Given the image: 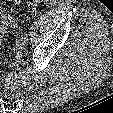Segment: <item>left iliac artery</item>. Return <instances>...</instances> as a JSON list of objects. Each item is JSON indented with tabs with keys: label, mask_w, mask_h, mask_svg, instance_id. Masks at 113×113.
Segmentation results:
<instances>
[{
	"label": "left iliac artery",
	"mask_w": 113,
	"mask_h": 113,
	"mask_svg": "<svg viewBox=\"0 0 113 113\" xmlns=\"http://www.w3.org/2000/svg\"><path fill=\"white\" fill-rule=\"evenodd\" d=\"M22 40H23L25 43H27V40H28V39H27L26 37H23Z\"/></svg>",
	"instance_id": "obj_1"
}]
</instances>
